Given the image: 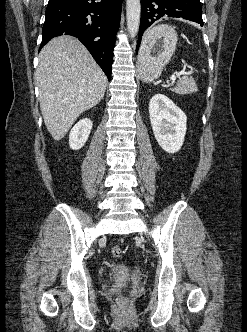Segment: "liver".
Returning a JSON list of instances; mask_svg holds the SVG:
<instances>
[{
	"label": "liver",
	"mask_w": 247,
	"mask_h": 332,
	"mask_svg": "<svg viewBox=\"0 0 247 332\" xmlns=\"http://www.w3.org/2000/svg\"><path fill=\"white\" fill-rule=\"evenodd\" d=\"M47 130L61 140L77 118L103 98L107 78L87 49L71 36L50 40L35 73Z\"/></svg>",
	"instance_id": "1"
}]
</instances>
